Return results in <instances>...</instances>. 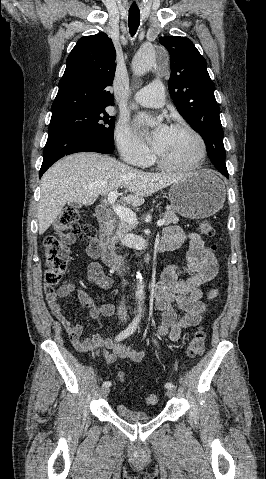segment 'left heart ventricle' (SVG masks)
<instances>
[{
    "label": "left heart ventricle",
    "instance_id": "b2bd125f",
    "mask_svg": "<svg viewBox=\"0 0 266 479\" xmlns=\"http://www.w3.org/2000/svg\"><path fill=\"white\" fill-rule=\"evenodd\" d=\"M198 146L194 137L181 130L169 129L167 136L157 151V155L167 163L181 164L192 161Z\"/></svg>",
    "mask_w": 266,
    "mask_h": 479
}]
</instances>
